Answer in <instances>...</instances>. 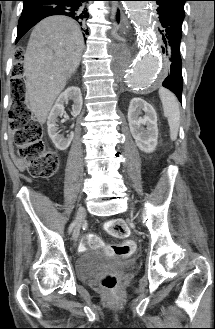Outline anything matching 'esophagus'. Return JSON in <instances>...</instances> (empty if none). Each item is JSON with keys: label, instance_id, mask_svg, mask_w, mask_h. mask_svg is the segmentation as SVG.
Instances as JSON below:
<instances>
[{"label": "esophagus", "instance_id": "obj_1", "mask_svg": "<svg viewBox=\"0 0 215 329\" xmlns=\"http://www.w3.org/2000/svg\"><path fill=\"white\" fill-rule=\"evenodd\" d=\"M130 29V24L125 17L121 19V30L126 33Z\"/></svg>", "mask_w": 215, "mask_h": 329}]
</instances>
